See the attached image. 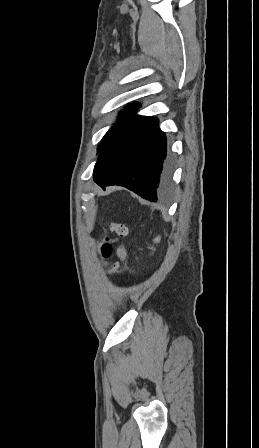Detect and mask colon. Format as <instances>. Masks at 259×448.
I'll list each match as a JSON object with an SVG mask.
<instances>
[{"instance_id": "5ec220e1", "label": "colon", "mask_w": 259, "mask_h": 448, "mask_svg": "<svg viewBox=\"0 0 259 448\" xmlns=\"http://www.w3.org/2000/svg\"><path fill=\"white\" fill-rule=\"evenodd\" d=\"M110 231L115 233L119 237H124L127 235L128 228L125 224L122 223H112L110 224ZM99 252L104 259H108L112 254V245L108 237L102 242L99 247ZM110 266V271L112 273L121 274L119 264L117 262L106 263Z\"/></svg>"}]
</instances>
